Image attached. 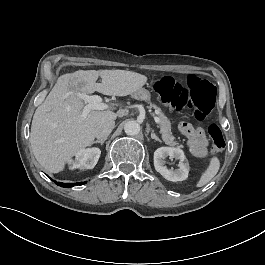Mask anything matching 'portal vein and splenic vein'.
<instances>
[{
  "mask_svg": "<svg viewBox=\"0 0 265 265\" xmlns=\"http://www.w3.org/2000/svg\"><path fill=\"white\" fill-rule=\"evenodd\" d=\"M69 95H74L80 99H83L87 105L83 108V111L81 113L80 119L81 122H84L87 118V115L89 114L91 109H96V110H100L103 109L104 106L102 105V97L99 95H87L85 93L79 92V91H75L73 89H70V92L68 93ZM155 122L157 125L160 124V120L158 117L155 118Z\"/></svg>",
  "mask_w": 265,
  "mask_h": 265,
  "instance_id": "portal-vein-and-splenic-vein-1",
  "label": "portal vein and splenic vein"
}]
</instances>
